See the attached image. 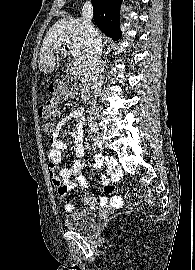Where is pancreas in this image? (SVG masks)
Instances as JSON below:
<instances>
[{
	"mask_svg": "<svg viewBox=\"0 0 195 270\" xmlns=\"http://www.w3.org/2000/svg\"><path fill=\"white\" fill-rule=\"evenodd\" d=\"M81 76H84L85 74H84V72H81V74H80Z\"/></svg>",
	"mask_w": 195,
	"mask_h": 270,
	"instance_id": "obj_1",
	"label": "pancreas"
}]
</instances>
